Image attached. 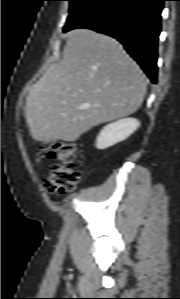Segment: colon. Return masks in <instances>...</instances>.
I'll use <instances>...</instances> for the list:
<instances>
[{"label": "colon", "mask_w": 180, "mask_h": 299, "mask_svg": "<svg viewBox=\"0 0 180 299\" xmlns=\"http://www.w3.org/2000/svg\"><path fill=\"white\" fill-rule=\"evenodd\" d=\"M51 159L48 173L43 179V188L48 194H63L76 188L81 180V172L75 164V145L67 141H55L41 146L36 160Z\"/></svg>", "instance_id": "colon-1"}]
</instances>
